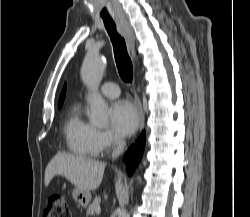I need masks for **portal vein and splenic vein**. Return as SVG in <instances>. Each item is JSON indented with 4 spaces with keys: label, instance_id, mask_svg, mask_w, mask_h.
<instances>
[{
    "label": "portal vein and splenic vein",
    "instance_id": "1",
    "mask_svg": "<svg viewBox=\"0 0 250 217\" xmlns=\"http://www.w3.org/2000/svg\"><path fill=\"white\" fill-rule=\"evenodd\" d=\"M100 212H101V208H100V207H97L96 213H97V214H100Z\"/></svg>",
    "mask_w": 250,
    "mask_h": 217
}]
</instances>
